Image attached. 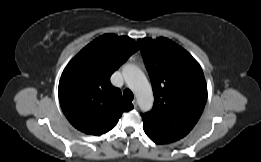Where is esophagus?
<instances>
[{
  "label": "esophagus",
  "mask_w": 261,
  "mask_h": 162,
  "mask_svg": "<svg viewBox=\"0 0 261 162\" xmlns=\"http://www.w3.org/2000/svg\"><path fill=\"white\" fill-rule=\"evenodd\" d=\"M132 104H133L134 108H137V107H138L137 100H133V101H132Z\"/></svg>",
  "instance_id": "obj_1"
}]
</instances>
